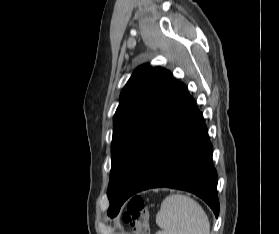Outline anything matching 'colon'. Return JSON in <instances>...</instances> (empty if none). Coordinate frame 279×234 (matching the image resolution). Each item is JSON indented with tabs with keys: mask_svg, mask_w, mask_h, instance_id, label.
I'll list each match as a JSON object with an SVG mask.
<instances>
[{
	"mask_svg": "<svg viewBox=\"0 0 279 234\" xmlns=\"http://www.w3.org/2000/svg\"><path fill=\"white\" fill-rule=\"evenodd\" d=\"M123 220L130 234H149V211L142 197L134 196L128 201Z\"/></svg>",
	"mask_w": 279,
	"mask_h": 234,
	"instance_id": "5ec220e1",
	"label": "colon"
}]
</instances>
